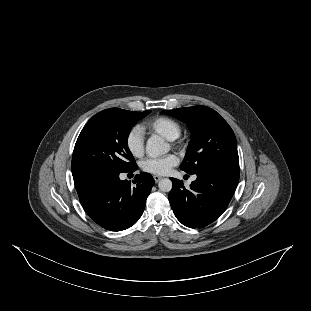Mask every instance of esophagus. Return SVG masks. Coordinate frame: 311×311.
<instances>
[{"label":"esophagus","mask_w":311,"mask_h":311,"mask_svg":"<svg viewBox=\"0 0 311 311\" xmlns=\"http://www.w3.org/2000/svg\"><path fill=\"white\" fill-rule=\"evenodd\" d=\"M153 178H154L155 182L158 183L159 180H161L162 177L154 175Z\"/></svg>","instance_id":"1"}]
</instances>
